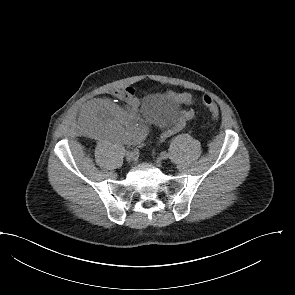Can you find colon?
<instances>
[{"mask_svg":"<svg viewBox=\"0 0 295 295\" xmlns=\"http://www.w3.org/2000/svg\"><path fill=\"white\" fill-rule=\"evenodd\" d=\"M202 103L210 111V113L214 119L218 117L219 108H218L217 104L214 102V100L212 99V97H210L209 95H204L202 97Z\"/></svg>","mask_w":295,"mask_h":295,"instance_id":"colon-1","label":"colon"}]
</instances>
